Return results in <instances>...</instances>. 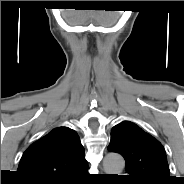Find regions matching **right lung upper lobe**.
<instances>
[{"label": "right lung upper lobe", "mask_w": 184, "mask_h": 184, "mask_svg": "<svg viewBox=\"0 0 184 184\" xmlns=\"http://www.w3.org/2000/svg\"><path fill=\"white\" fill-rule=\"evenodd\" d=\"M84 148L75 130L58 127L24 152L18 172L33 183H66L85 172Z\"/></svg>", "instance_id": "obj_1"}]
</instances>
